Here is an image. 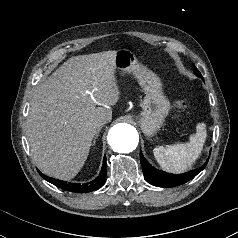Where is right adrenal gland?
Returning <instances> with one entry per match:
<instances>
[{"instance_id":"right-adrenal-gland-1","label":"right adrenal gland","mask_w":238,"mask_h":238,"mask_svg":"<svg viewBox=\"0 0 238 238\" xmlns=\"http://www.w3.org/2000/svg\"><path fill=\"white\" fill-rule=\"evenodd\" d=\"M100 130H101V128H98V130H97V132H96V134H95V137H94V140H93V143H92L93 146H94L95 143H96V139H97L98 136H99Z\"/></svg>"}]
</instances>
